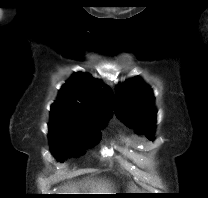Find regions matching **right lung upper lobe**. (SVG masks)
<instances>
[{
	"instance_id": "right-lung-upper-lobe-1",
	"label": "right lung upper lobe",
	"mask_w": 208,
	"mask_h": 198,
	"mask_svg": "<svg viewBox=\"0 0 208 198\" xmlns=\"http://www.w3.org/2000/svg\"><path fill=\"white\" fill-rule=\"evenodd\" d=\"M114 105L108 86L87 73H75L59 90L50 114L99 121L111 117Z\"/></svg>"
}]
</instances>
